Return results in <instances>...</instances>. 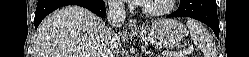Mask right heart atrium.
<instances>
[{"label":"right heart atrium","mask_w":249,"mask_h":57,"mask_svg":"<svg viewBox=\"0 0 249 57\" xmlns=\"http://www.w3.org/2000/svg\"><path fill=\"white\" fill-rule=\"evenodd\" d=\"M113 6H115V7H119L120 6V3H118V2H112L111 3Z\"/></svg>","instance_id":"1"}]
</instances>
